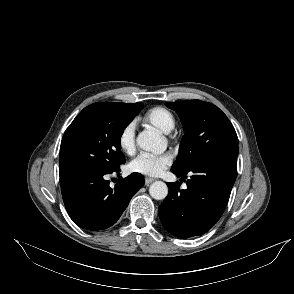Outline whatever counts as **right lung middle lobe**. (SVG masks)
I'll use <instances>...</instances> for the list:
<instances>
[{"instance_id": "obj_1", "label": "right lung middle lobe", "mask_w": 294, "mask_h": 294, "mask_svg": "<svg viewBox=\"0 0 294 294\" xmlns=\"http://www.w3.org/2000/svg\"><path fill=\"white\" fill-rule=\"evenodd\" d=\"M142 103H94L84 108L66 129L60 147V176L115 170L125 162L121 152L124 129Z\"/></svg>"}]
</instances>
